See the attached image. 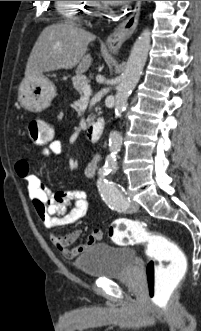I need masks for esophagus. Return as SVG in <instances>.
Returning a JSON list of instances; mask_svg holds the SVG:
<instances>
[{
	"instance_id": "34e87169",
	"label": "esophagus",
	"mask_w": 201,
	"mask_h": 331,
	"mask_svg": "<svg viewBox=\"0 0 201 331\" xmlns=\"http://www.w3.org/2000/svg\"><path fill=\"white\" fill-rule=\"evenodd\" d=\"M141 2H136L132 14L108 36L107 45L112 52H118L122 44L134 33L139 21Z\"/></svg>"
}]
</instances>
